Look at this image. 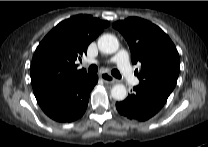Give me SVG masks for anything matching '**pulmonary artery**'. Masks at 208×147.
Masks as SVG:
<instances>
[{
	"label": "pulmonary artery",
	"instance_id": "1",
	"mask_svg": "<svg viewBox=\"0 0 208 147\" xmlns=\"http://www.w3.org/2000/svg\"><path fill=\"white\" fill-rule=\"evenodd\" d=\"M110 62L117 64L119 70L128 83L132 85L139 83L138 78L133 74V70L129 63V56L126 50H120L113 58L110 59Z\"/></svg>",
	"mask_w": 208,
	"mask_h": 147
}]
</instances>
